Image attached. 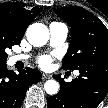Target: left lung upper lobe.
I'll return each mask as SVG.
<instances>
[{
	"label": "left lung upper lobe",
	"mask_w": 108,
	"mask_h": 108,
	"mask_svg": "<svg viewBox=\"0 0 108 108\" xmlns=\"http://www.w3.org/2000/svg\"><path fill=\"white\" fill-rule=\"evenodd\" d=\"M71 27V43L62 60L65 70L96 69L108 65V29L80 7L55 10Z\"/></svg>",
	"instance_id": "obj_1"
}]
</instances>
